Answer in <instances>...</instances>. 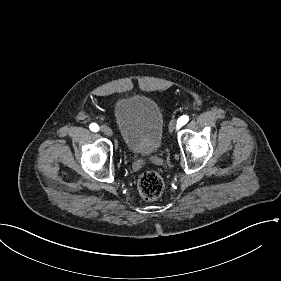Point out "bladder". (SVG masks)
<instances>
[{
  "label": "bladder",
  "instance_id": "31cf9c89",
  "mask_svg": "<svg viewBox=\"0 0 281 281\" xmlns=\"http://www.w3.org/2000/svg\"><path fill=\"white\" fill-rule=\"evenodd\" d=\"M113 121L123 145L140 158L158 153L163 143L164 115L150 95L130 94L117 99Z\"/></svg>",
  "mask_w": 281,
  "mask_h": 281
}]
</instances>
